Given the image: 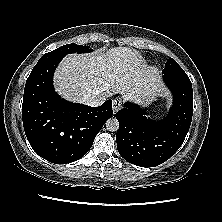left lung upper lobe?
I'll list each match as a JSON object with an SVG mask.
<instances>
[{
	"instance_id": "obj_1",
	"label": "left lung upper lobe",
	"mask_w": 222,
	"mask_h": 222,
	"mask_svg": "<svg viewBox=\"0 0 222 222\" xmlns=\"http://www.w3.org/2000/svg\"><path fill=\"white\" fill-rule=\"evenodd\" d=\"M163 74L185 75L184 70L177 64L175 60L169 58L165 64Z\"/></svg>"
}]
</instances>
